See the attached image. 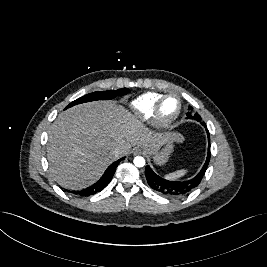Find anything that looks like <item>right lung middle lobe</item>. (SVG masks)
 <instances>
[{"label": "right lung middle lobe", "mask_w": 267, "mask_h": 267, "mask_svg": "<svg viewBox=\"0 0 267 267\" xmlns=\"http://www.w3.org/2000/svg\"><path fill=\"white\" fill-rule=\"evenodd\" d=\"M129 93L128 88H122L118 90H111V91H97L90 94H87L85 96H82L75 101L71 102L65 109L70 108L74 105L84 103V102H90L95 100H109L113 99L117 96H123Z\"/></svg>", "instance_id": "right-lung-middle-lobe-1"}]
</instances>
